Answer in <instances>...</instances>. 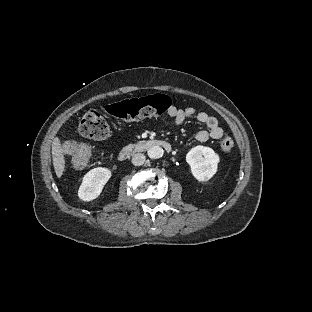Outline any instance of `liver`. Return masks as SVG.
<instances>
[{"label":"liver","instance_id":"liver-1","mask_svg":"<svg viewBox=\"0 0 312 312\" xmlns=\"http://www.w3.org/2000/svg\"><path fill=\"white\" fill-rule=\"evenodd\" d=\"M51 154H52V161H53L55 174L57 178L60 179L64 173L66 161H65L63 146H62L61 139L59 136H55L53 138V141L51 144Z\"/></svg>","mask_w":312,"mask_h":312}]
</instances>
